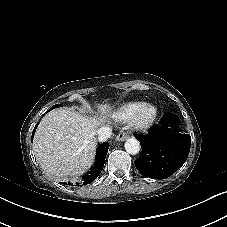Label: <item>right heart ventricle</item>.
Returning <instances> with one entry per match:
<instances>
[{
	"mask_svg": "<svg viewBox=\"0 0 227 227\" xmlns=\"http://www.w3.org/2000/svg\"><path fill=\"white\" fill-rule=\"evenodd\" d=\"M141 104L142 102H129L123 104L116 110L114 117L119 121H125L136 111V109Z\"/></svg>",
	"mask_w": 227,
	"mask_h": 227,
	"instance_id": "e07e8e85",
	"label": "right heart ventricle"
}]
</instances>
